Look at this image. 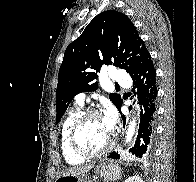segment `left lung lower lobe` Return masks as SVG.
I'll return each instance as SVG.
<instances>
[{
	"label": "left lung lower lobe",
	"mask_w": 196,
	"mask_h": 182,
	"mask_svg": "<svg viewBox=\"0 0 196 182\" xmlns=\"http://www.w3.org/2000/svg\"><path fill=\"white\" fill-rule=\"evenodd\" d=\"M131 77L134 82L133 89H137V93L139 94L138 99L139 104L141 105V111L138 135L136 142L130 151L138 158L147 159L152 154L155 138L158 93L156 70L150 55ZM122 103L123 101L117 107L119 111ZM121 116L125 124L126 118L124 115ZM108 158L119 159L120 155L116 152H112Z\"/></svg>",
	"instance_id": "obj_1"
}]
</instances>
